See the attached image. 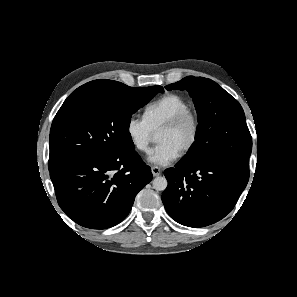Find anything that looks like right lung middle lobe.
Listing matches in <instances>:
<instances>
[{
  "mask_svg": "<svg viewBox=\"0 0 297 297\" xmlns=\"http://www.w3.org/2000/svg\"><path fill=\"white\" fill-rule=\"evenodd\" d=\"M163 91L161 86L132 88L102 80L99 94L64 102L50 130L49 171L79 157L134 150L131 116Z\"/></svg>",
  "mask_w": 297,
  "mask_h": 297,
  "instance_id": "dd1d6c3e",
  "label": "right lung middle lobe"
}]
</instances>
